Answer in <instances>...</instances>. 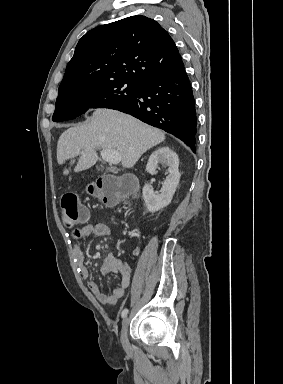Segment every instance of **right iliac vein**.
I'll use <instances>...</instances> for the list:
<instances>
[{"label": "right iliac vein", "mask_w": 283, "mask_h": 384, "mask_svg": "<svg viewBox=\"0 0 283 384\" xmlns=\"http://www.w3.org/2000/svg\"><path fill=\"white\" fill-rule=\"evenodd\" d=\"M128 327H129V319L128 317H125L123 322H122V329H121V343L124 348V350L127 353L131 352V346L128 340Z\"/></svg>", "instance_id": "1"}]
</instances>
